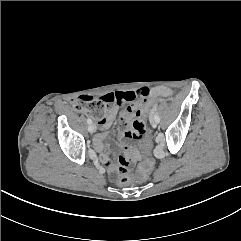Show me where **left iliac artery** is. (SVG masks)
Returning <instances> with one entry per match:
<instances>
[{
  "label": "left iliac artery",
  "mask_w": 241,
  "mask_h": 241,
  "mask_svg": "<svg viewBox=\"0 0 241 241\" xmlns=\"http://www.w3.org/2000/svg\"><path fill=\"white\" fill-rule=\"evenodd\" d=\"M155 111H156V107L154 108L152 113L154 114V119L159 123L160 122V117L158 116V114L155 113Z\"/></svg>",
  "instance_id": "obj_1"
}]
</instances>
